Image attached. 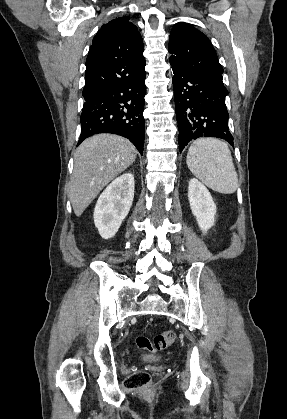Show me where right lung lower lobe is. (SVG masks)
<instances>
[{"mask_svg":"<svg viewBox=\"0 0 287 419\" xmlns=\"http://www.w3.org/2000/svg\"><path fill=\"white\" fill-rule=\"evenodd\" d=\"M145 76L143 72L85 101L78 145L94 134L112 133L129 139L143 153Z\"/></svg>","mask_w":287,"mask_h":419,"instance_id":"98d812e1","label":"right lung lower lobe"}]
</instances>
